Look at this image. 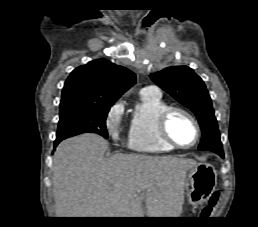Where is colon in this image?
Segmentation results:
<instances>
[{"label": "colon", "instance_id": "obj_1", "mask_svg": "<svg viewBox=\"0 0 258 227\" xmlns=\"http://www.w3.org/2000/svg\"><path fill=\"white\" fill-rule=\"evenodd\" d=\"M218 199H219V192H214L212 195H211V197H210V199H209V206H213V205H215L216 204V202L218 201ZM210 211H209V209H206L205 210V213H209Z\"/></svg>", "mask_w": 258, "mask_h": 227}]
</instances>
